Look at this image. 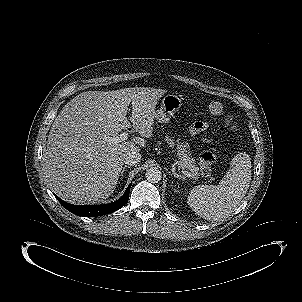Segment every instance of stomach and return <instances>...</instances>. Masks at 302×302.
Wrapping results in <instances>:
<instances>
[{
    "mask_svg": "<svg viewBox=\"0 0 302 302\" xmlns=\"http://www.w3.org/2000/svg\"><path fill=\"white\" fill-rule=\"evenodd\" d=\"M182 106L181 98L176 94H167L161 101V106L154 113V118L160 123H167Z\"/></svg>",
    "mask_w": 302,
    "mask_h": 302,
    "instance_id": "1",
    "label": "stomach"
}]
</instances>
